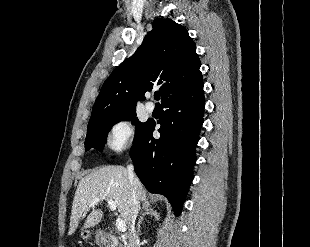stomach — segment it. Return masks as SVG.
Returning a JSON list of instances; mask_svg holds the SVG:
<instances>
[{
	"instance_id": "0dacf381",
	"label": "stomach",
	"mask_w": 310,
	"mask_h": 247,
	"mask_svg": "<svg viewBox=\"0 0 310 247\" xmlns=\"http://www.w3.org/2000/svg\"><path fill=\"white\" fill-rule=\"evenodd\" d=\"M91 232L89 230H82L80 236L82 239L86 240L90 237Z\"/></svg>"
}]
</instances>
